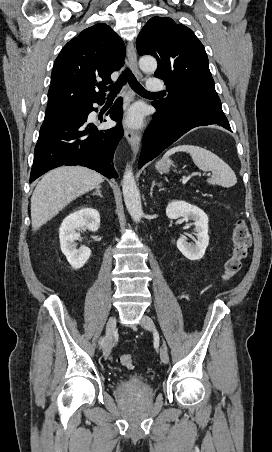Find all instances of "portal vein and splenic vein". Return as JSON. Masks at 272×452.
<instances>
[{
    "instance_id": "obj_1",
    "label": "portal vein and splenic vein",
    "mask_w": 272,
    "mask_h": 452,
    "mask_svg": "<svg viewBox=\"0 0 272 452\" xmlns=\"http://www.w3.org/2000/svg\"><path fill=\"white\" fill-rule=\"evenodd\" d=\"M187 178L183 180V182H186Z\"/></svg>"
}]
</instances>
